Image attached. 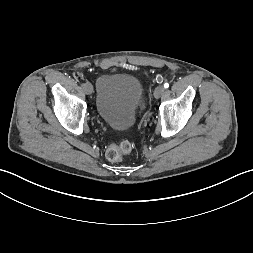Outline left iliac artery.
I'll use <instances>...</instances> for the list:
<instances>
[{
	"mask_svg": "<svg viewBox=\"0 0 253 253\" xmlns=\"http://www.w3.org/2000/svg\"><path fill=\"white\" fill-rule=\"evenodd\" d=\"M169 87V84L168 83H165L164 84V88H168Z\"/></svg>",
	"mask_w": 253,
	"mask_h": 253,
	"instance_id": "left-iliac-artery-1",
	"label": "left iliac artery"
}]
</instances>
